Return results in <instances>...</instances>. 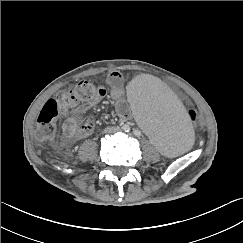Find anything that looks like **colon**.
I'll return each instance as SVG.
<instances>
[{
  "instance_id": "colon-1",
  "label": "colon",
  "mask_w": 243,
  "mask_h": 243,
  "mask_svg": "<svg viewBox=\"0 0 243 243\" xmlns=\"http://www.w3.org/2000/svg\"><path fill=\"white\" fill-rule=\"evenodd\" d=\"M98 87L89 81H81L75 86L59 91L54 98L49 99L42 107L36 127V136L39 142L51 140L56 133V119L59 113L76 107L81 103H89L98 99ZM191 124L200 130V116L192 106L185 108Z\"/></svg>"
}]
</instances>
